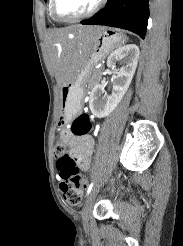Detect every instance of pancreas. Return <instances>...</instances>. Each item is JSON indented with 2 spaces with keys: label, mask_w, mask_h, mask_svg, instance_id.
<instances>
[{
  "label": "pancreas",
  "mask_w": 183,
  "mask_h": 246,
  "mask_svg": "<svg viewBox=\"0 0 183 246\" xmlns=\"http://www.w3.org/2000/svg\"><path fill=\"white\" fill-rule=\"evenodd\" d=\"M99 72V70H93V73L94 74H96V73H98Z\"/></svg>",
  "instance_id": "obj_1"
}]
</instances>
